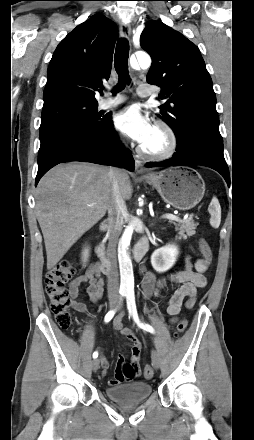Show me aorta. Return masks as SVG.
Listing matches in <instances>:
<instances>
[{"label": "aorta", "instance_id": "obj_1", "mask_svg": "<svg viewBox=\"0 0 254 440\" xmlns=\"http://www.w3.org/2000/svg\"><path fill=\"white\" fill-rule=\"evenodd\" d=\"M137 62L142 69H147L151 65V58L146 53L136 55ZM133 233V227L128 226L120 240L118 249V259L121 275V289L132 290L134 287V278L132 262L129 254V244Z\"/></svg>", "mask_w": 254, "mask_h": 440}]
</instances>
